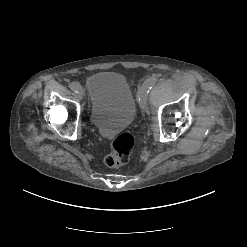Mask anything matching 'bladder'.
I'll return each mask as SVG.
<instances>
[{
    "instance_id": "31cf9c89",
    "label": "bladder",
    "mask_w": 247,
    "mask_h": 247,
    "mask_svg": "<svg viewBox=\"0 0 247 247\" xmlns=\"http://www.w3.org/2000/svg\"><path fill=\"white\" fill-rule=\"evenodd\" d=\"M90 120L103 136L128 127L136 114V98L125 76L103 71L87 79Z\"/></svg>"
}]
</instances>
